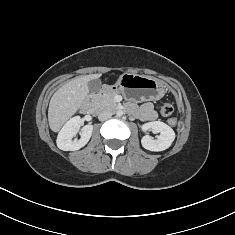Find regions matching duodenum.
<instances>
[{"instance_id":"duodenum-1","label":"duodenum","mask_w":235,"mask_h":235,"mask_svg":"<svg viewBox=\"0 0 235 235\" xmlns=\"http://www.w3.org/2000/svg\"><path fill=\"white\" fill-rule=\"evenodd\" d=\"M110 90L111 89L109 87H105L101 92L105 93V92H109ZM91 99L92 97H89L87 101L85 102V104L83 105V110L88 113H92L94 111Z\"/></svg>"}]
</instances>
